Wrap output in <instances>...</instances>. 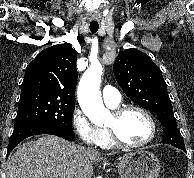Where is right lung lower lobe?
I'll return each instance as SVG.
<instances>
[{
  "label": "right lung lower lobe",
  "mask_w": 194,
  "mask_h": 178,
  "mask_svg": "<svg viewBox=\"0 0 194 178\" xmlns=\"http://www.w3.org/2000/svg\"><path fill=\"white\" fill-rule=\"evenodd\" d=\"M38 134H52V135H57L62 138H65L69 141L75 140V135L73 130H61V129H57L52 126L43 125V124H25V125L16 126L14 127V131L10 138L6 158L8 157L10 152L15 148V146L18 145L22 140L32 135H38Z\"/></svg>",
  "instance_id": "1"
}]
</instances>
